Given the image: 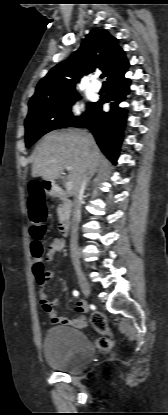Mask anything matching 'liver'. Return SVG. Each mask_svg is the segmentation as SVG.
I'll use <instances>...</instances> for the list:
<instances>
[{"mask_svg": "<svg viewBox=\"0 0 168 415\" xmlns=\"http://www.w3.org/2000/svg\"><path fill=\"white\" fill-rule=\"evenodd\" d=\"M102 159L99 147L87 131L75 128L52 131L36 148L32 177L53 181L70 167L68 179L73 183L74 194L84 175L94 174Z\"/></svg>", "mask_w": 168, "mask_h": 415, "instance_id": "6515ba94", "label": "liver"}]
</instances>
